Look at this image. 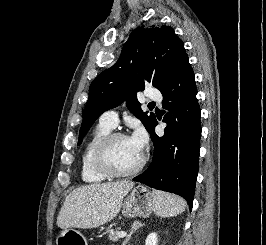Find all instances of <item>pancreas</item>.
Masks as SVG:
<instances>
[{
	"label": "pancreas",
	"mask_w": 266,
	"mask_h": 245,
	"mask_svg": "<svg viewBox=\"0 0 266 245\" xmlns=\"http://www.w3.org/2000/svg\"><path fill=\"white\" fill-rule=\"evenodd\" d=\"M118 233H122V231H120V229H118V231H114V229H112V231H110L109 233V241H113V243L119 241L120 237H118Z\"/></svg>",
	"instance_id": "cf45deb5"
}]
</instances>
